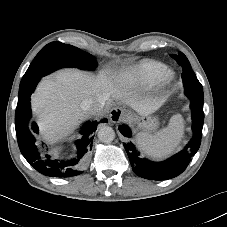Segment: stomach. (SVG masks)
<instances>
[{
	"instance_id": "stomach-1",
	"label": "stomach",
	"mask_w": 227,
	"mask_h": 227,
	"mask_svg": "<svg viewBox=\"0 0 227 227\" xmlns=\"http://www.w3.org/2000/svg\"><path fill=\"white\" fill-rule=\"evenodd\" d=\"M133 123L137 126V129L141 133L151 134L153 133L159 125L158 119L152 115H141L140 117H132Z\"/></svg>"
}]
</instances>
